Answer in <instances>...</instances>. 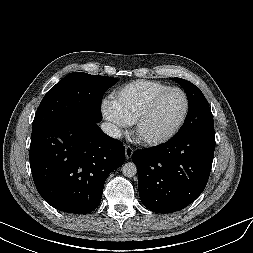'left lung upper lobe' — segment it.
I'll list each match as a JSON object with an SVG mask.
<instances>
[{"instance_id": "1", "label": "left lung upper lobe", "mask_w": 253, "mask_h": 253, "mask_svg": "<svg viewBox=\"0 0 253 253\" xmlns=\"http://www.w3.org/2000/svg\"><path fill=\"white\" fill-rule=\"evenodd\" d=\"M172 80L184 88L189 103L187 117L178 133L186 134L213 126L212 112L201 90L182 78H172Z\"/></svg>"}]
</instances>
